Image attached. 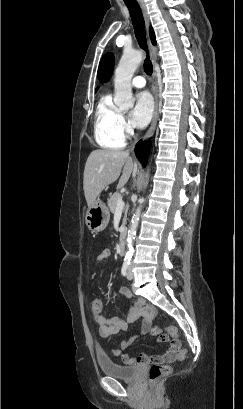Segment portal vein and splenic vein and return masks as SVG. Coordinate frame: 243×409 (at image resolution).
I'll use <instances>...</instances> for the list:
<instances>
[{
	"instance_id": "portal-vein-and-splenic-vein-1",
	"label": "portal vein and splenic vein",
	"mask_w": 243,
	"mask_h": 409,
	"mask_svg": "<svg viewBox=\"0 0 243 409\" xmlns=\"http://www.w3.org/2000/svg\"><path fill=\"white\" fill-rule=\"evenodd\" d=\"M124 206H125L124 201L122 200V198H119L117 200L116 211H122Z\"/></svg>"
}]
</instances>
